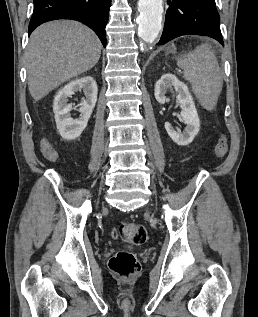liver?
Segmentation results:
<instances>
[{"label":"liver","mask_w":258,"mask_h":317,"mask_svg":"<svg viewBox=\"0 0 258 317\" xmlns=\"http://www.w3.org/2000/svg\"><path fill=\"white\" fill-rule=\"evenodd\" d=\"M101 42L76 20H53L33 30L25 52L31 96L40 100L61 82L86 72L98 62Z\"/></svg>","instance_id":"liver-1"}]
</instances>
